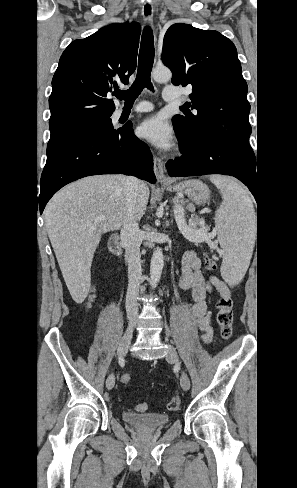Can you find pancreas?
Wrapping results in <instances>:
<instances>
[{"label": "pancreas", "instance_id": "obj_1", "mask_svg": "<svg viewBox=\"0 0 297 488\" xmlns=\"http://www.w3.org/2000/svg\"><path fill=\"white\" fill-rule=\"evenodd\" d=\"M180 205V204H179ZM181 206V205H180ZM203 225L204 224V220L199 218V217H196L192 220H190V225L192 228L196 229V225Z\"/></svg>", "mask_w": 297, "mask_h": 488}]
</instances>
